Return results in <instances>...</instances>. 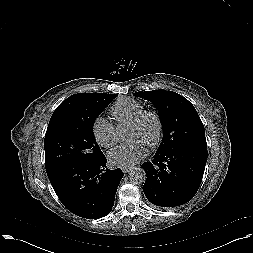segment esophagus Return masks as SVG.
<instances>
[{
  "label": "esophagus",
  "instance_id": "obj_1",
  "mask_svg": "<svg viewBox=\"0 0 253 253\" xmlns=\"http://www.w3.org/2000/svg\"><path fill=\"white\" fill-rule=\"evenodd\" d=\"M132 170V167H122V171L124 172V173H129L130 171Z\"/></svg>",
  "mask_w": 253,
  "mask_h": 253
}]
</instances>
